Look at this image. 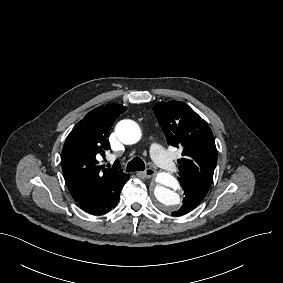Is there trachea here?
I'll list each match as a JSON object with an SVG mask.
<instances>
[{
	"label": "trachea",
	"mask_w": 283,
	"mask_h": 283,
	"mask_svg": "<svg viewBox=\"0 0 283 283\" xmlns=\"http://www.w3.org/2000/svg\"><path fill=\"white\" fill-rule=\"evenodd\" d=\"M145 163L140 157L133 158L126 166L127 172L143 171Z\"/></svg>",
	"instance_id": "obj_1"
}]
</instances>
